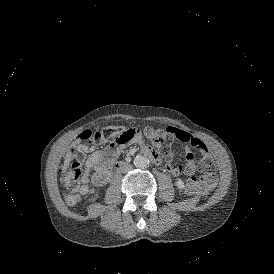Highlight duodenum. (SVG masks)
<instances>
[{
  "instance_id": "1",
  "label": "duodenum",
  "mask_w": 274,
  "mask_h": 274,
  "mask_svg": "<svg viewBox=\"0 0 274 274\" xmlns=\"http://www.w3.org/2000/svg\"><path fill=\"white\" fill-rule=\"evenodd\" d=\"M141 153L143 155L149 157L155 163H159V161H160L158 154L154 150H152L151 148H148V147L143 148L141 150ZM124 165H125V162H123V161L115 162L111 166V171L115 172V171L119 170L121 167H123Z\"/></svg>"
}]
</instances>
